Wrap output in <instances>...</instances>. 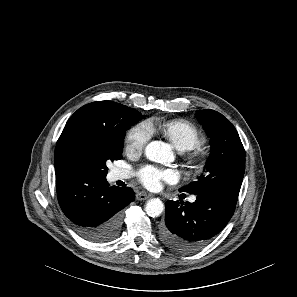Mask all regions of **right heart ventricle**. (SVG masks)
Instances as JSON below:
<instances>
[{"instance_id": "obj_1", "label": "right heart ventricle", "mask_w": 297, "mask_h": 297, "mask_svg": "<svg viewBox=\"0 0 297 297\" xmlns=\"http://www.w3.org/2000/svg\"><path fill=\"white\" fill-rule=\"evenodd\" d=\"M149 125L152 132L157 128L154 122H150ZM158 129L180 151L191 150L204 141L201 130L188 120H169L159 125Z\"/></svg>"}]
</instances>
